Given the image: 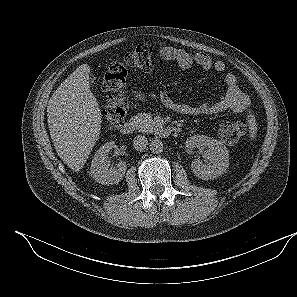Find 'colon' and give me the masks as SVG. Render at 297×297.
<instances>
[{
  "label": "colon",
  "instance_id": "1",
  "mask_svg": "<svg viewBox=\"0 0 297 297\" xmlns=\"http://www.w3.org/2000/svg\"><path fill=\"white\" fill-rule=\"evenodd\" d=\"M152 66V51L147 46L137 47L128 52L121 60L112 63L104 73L103 89L108 94L104 118L109 128L119 127L125 120L127 100L125 87L128 69L148 70ZM244 120L227 121L220 125L218 134L227 144L238 142L247 132Z\"/></svg>",
  "mask_w": 297,
  "mask_h": 297
}]
</instances>
